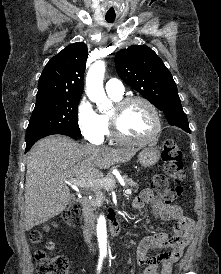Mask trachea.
<instances>
[{"mask_svg":"<svg viewBox=\"0 0 221 274\" xmlns=\"http://www.w3.org/2000/svg\"><path fill=\"white\" fill-rule=\"evenodd\" d=\"M105 20H106L108 23H112V22L115 20V17L106 16V17H105Z\"/></svg>","mask_w":221,"mask_h":274,"instance_id":"1","label":"trachea"}]
</instances>
